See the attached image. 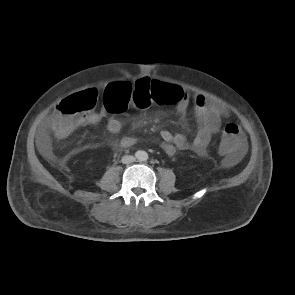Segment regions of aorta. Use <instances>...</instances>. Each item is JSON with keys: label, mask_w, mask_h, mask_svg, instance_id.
Here are the masks:
<instances>
[{"label": "aorta", "mask_w": 295, "mask_h": 295, "mask_svg": "<svg viewBox=\"0 0 295 295\" xmlns=\"http://www.w3.org/2000/svg\"><path fill=\"white\" fill-rule=\"evenodd\" d=\"M136 157L139 161H146L148 159V154L146 151H137L136 152Z\"/></svg>", "instance_id": "762f6f07"}]
</instances>
